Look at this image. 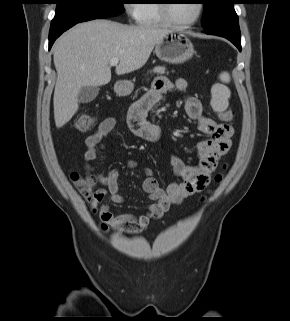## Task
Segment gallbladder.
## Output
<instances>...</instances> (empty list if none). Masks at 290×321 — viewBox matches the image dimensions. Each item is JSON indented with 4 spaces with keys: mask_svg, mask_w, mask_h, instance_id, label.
I'll list each match as a JSON object with an SVG mask.
<instances>
[{
    "mask_svg": "<svg viewBox=\"0 0 290 321\" xmlns=\"http://www.w3.org/2000/svg\"><path fill=\"white\" fill-rule=\"evenodd\" d=\"M99 87L95 86H84L78 93V101L80 103H89L93 101L99 94Z\"/></svg>",
    "mask_w": 290,
    "mask_h": 321,
    "instance_id": "obj_1",
    "label": "gallbladder"
}]
</instances>
